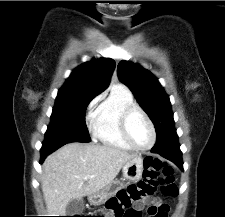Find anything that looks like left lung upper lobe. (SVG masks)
<instances>
[{
	"label": "left lung upper lobe",
	"instance_id": "left-lung-upper-lobe-1",
	"mask_svg": "<svg viewBox=\"0 0 225 217\" xmlns=\"http://www.w3.org/2000/svg\"><path fill=\"white\" fill-rule=\"evenodd\" d=\"M118 76L133 92L155 126L157 140L152 150L179 145L171 103L158 79L140 65L128 61L118 64Z\"/></svg>",
	"mask_w": 225,
	"mask_h": 217
}]
</instances>
